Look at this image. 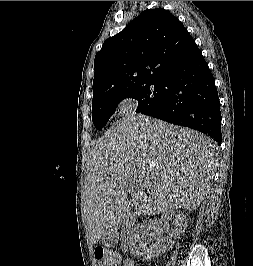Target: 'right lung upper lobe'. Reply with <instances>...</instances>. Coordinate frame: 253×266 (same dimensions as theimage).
Instances as JSON below:
<instances>
[{
	"label": "right lung upper lobe",
	"mask_w": 253,
	"mask_h": 266,
	"mask_svg": "<svg viewBox=\"0 0 253 266\" xmlns=\"http://www.w3.org/2000/svg\"><path fill=\"white\" fill-rule=\"evenodd\" d=\"M198 51L187 29L168 10H145L96 54L92 103L162 80Z\"/></svg>",
	"instance_id": "right-lung-upper-lobe-1"
}]
</instances>
